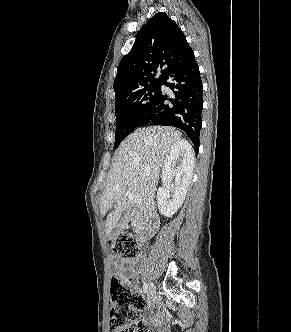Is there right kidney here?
<instances>
[{
	"mask_svg": "<svg viewBox=\"0 0 291 332\" xmlns=\"http://www.w3.org/2000/svg\"><path fill=\"white\" fill-rule=\"evenodd\" d=\"M194 155L190 144L181 140L175 143L162 168L163 186L157 193L158 209L165 217H171L183 204L193 176ZM175 178L173 199L169 200L172 180Z\"/></svg>",
	"mask_w": 291,
	"mask_h": 332,
	"instance_id": "1",
	"label": "right kidney"
}]
</instances>
